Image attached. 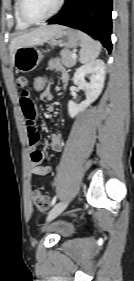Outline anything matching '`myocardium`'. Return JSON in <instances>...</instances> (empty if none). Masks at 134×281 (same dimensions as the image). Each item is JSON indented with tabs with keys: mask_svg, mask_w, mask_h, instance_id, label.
Segmentation results:
<instances>
[{
	"mask_svg": "<svg viewBox=\"0 0 134 281\" xmlns=\"http://www.w3.org/2000/svg\"><path fill=\"white\" fill-rule=\"evenodd\" d=\"M65 1L66 0H59L55 9L48 15L41 17V18H32L25 12L24 0H17V8H18L19 16L24 22L31 24V25L40 24L42 22H45V21L51 19L55 15H57L60 12V10L62 9V7L64 6Z\"/></svg>",
	"mask_w": 134,
	"mask_h": 281,
	"instance_id": "myocardium-1",
	"label": "myocardium"
}]
</instances>
